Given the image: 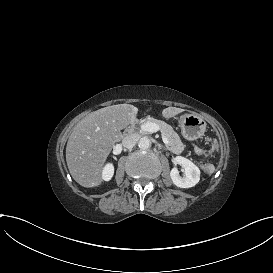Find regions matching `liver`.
<instances>
[{"mask_svg":"<svg viewBox=\"0 0 273 273\" xmlns=\"http://www.w3.org/2000/svg\"><path fill=\"white\" fill-rule=\"evenodd\" d=\"M185 109L167 107L161 116L169 120ZM133 104H118L89 113L71 133L66 146V163L72 178L82 187H99L103 182L104 166L115 143L123 139L120 130L138 116Z\"/></svg>","mask_w":273,"mask_h":273,"instance_id":"6515ba94","label":"liver"}]
</instances>
